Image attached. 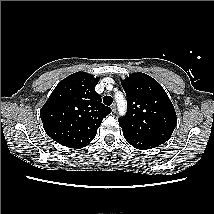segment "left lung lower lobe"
Masks as SVG:
<instances>
[{
  "label": "left lung lower lobe",
  "instance_id": "left-lung-lower-lobe-1",
  "mask_svg": "<svg viewBox=\"0 0 214 214\" xmlns=\"http://www.w3.org/2000/svg\"><path fill=\"white\" fill-rule=\"evenodd\" d=\"M123 135H124V138L126 139V141L137 149L146 150V149H151V148H155V147L159 146V144H157L153 141H150V140L137 138L132 135H127L124 133H123Z\"/></svg>",
  "mask_w": 214,
  "mask_h": 214
}]
</instances>
